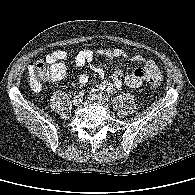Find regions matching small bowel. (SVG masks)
<instances>
[{
	"mask_svg": "<svg viewBox=\"0 0 195 195\" xmlns=\"http://www.w3.org/2000/svg\"><path fill=\"white\" fill-rule=\"evenodd\" d=\"M96 55L104 56L109 60H114L117 58H127V53L121 49H84L79 51L74 58V65L76 67L84 66L88 64L92 69H94L101 77V83L99 87L93 89L96 91L98 89L104 90L108 93L117 92L123 85L121 76L123 74L122 70H117L110 80L104 78V73L101 69L95 67L92 62ZM48 60L57 61L64 60L67 58V52L64 50H56L49 55H47ZM131 60L139 65L140 67L134 69L130 74L125 77V85L130 89L139 88L143 82L150 81L154 79H162V73L157 66V64L150 59H146L144 56L136 54L131 57ZM88 76L86 74H81L78 77V82L85 85L88 82Z\"/></svg>",
	"mask_w": 195,
	"mask_h": 195,
	"instance_id": "small-bowel-1",
	"label": "small bowel"
}]
</instances>
